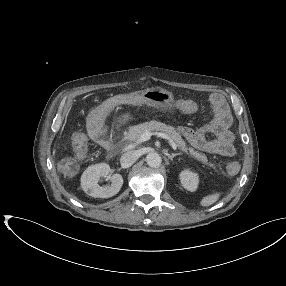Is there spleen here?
Instances as JSON below:
<instances>
[{"label":"spleen","mask_w":286,"mask_h":286,"mask_svg":"<svg viewBox=\"0 0 286 286\" xmlns=\"http://www.w3.org/2000/svg\"><path fill=\"white\" fill-rule=\"evenodd\" d=\"M220 196H221V194L219 192L207 195V196L202 198V200L200 201V205L204 206V207H208V206L216 203L219 200Z\"/></svg>","instance_id":"obj_1"}]
</instances>
